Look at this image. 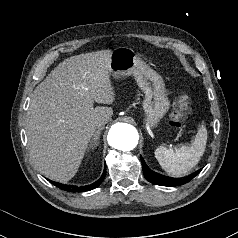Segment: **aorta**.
I'll list each match as a JSON object with an SVG mask.
<instances>
[{
  "instance_id": "1",
  "label": "aorta",
  "mask_w": 238,
  "mask_h": 238,
  "mask_svg": "<svg viewBox=\"0 0 238 238\" xmlns=\"http://www.w3.org/2000/svg\"><path fill=\"white\" fill-rule=\"evenodd\" d=\"M139 135L135 127L126 123L114 124L108 134V143L111 147L130 151L134 149L138 143Z\"/></svg>"
}]
</instances>
